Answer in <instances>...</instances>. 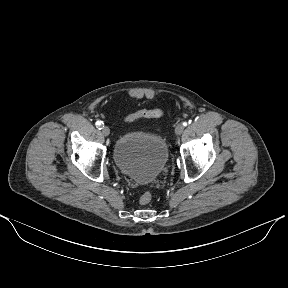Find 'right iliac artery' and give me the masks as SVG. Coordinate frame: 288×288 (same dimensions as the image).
I'll return each instance as SVG.
<instances>
[{"instance_id":"obj_1","label":"right iliac artery","mask_w":288,"mask_h":288,"mask_svg":"<svg viewBox=\"0 0 288 288\" xmlns=\"http://www.w3.org/2000/svg\"><path fill=\"white\" fill-rule=\"evenodd\" d=\"M96 127L100 130V129H102L104 127V123L99 120V121L96 122Z\"/></svg>"}]
</instances>
